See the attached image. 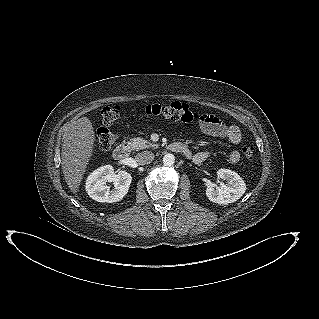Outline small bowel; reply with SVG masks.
<instances>
[{"label": "small bowel", "instance_id": "obj_1", "mask_svg": "<svg viewBox=\"0 0 319 319\" xmlns=\"http://www.w3.org/2000/svg\"><path fill=\"white\" fill-rule=\"evenodd\" d=\"M201 129L208 135L218 137L221 139H226L234 145L240 144L242 141V133L239 127L235 125H226L219 118L214 115H206V117L201 120ZM185 146V145H184ZM188 157H190L195 164H201L211 156L210 151L192 152L187 146ZM241 158V154L238 150L233 149L228 155V160L230 163H237Z\"/></svg>", "mask_w": 319, "mask_h": 319}]
</instances>
